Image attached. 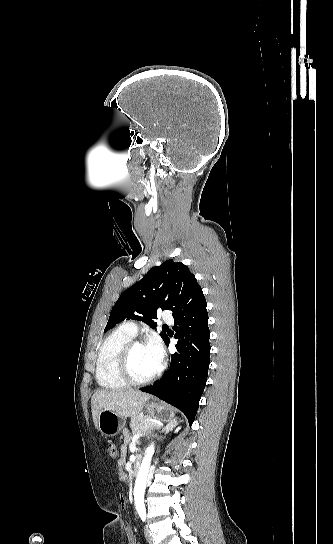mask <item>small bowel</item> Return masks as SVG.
<instances>
[{"label":"small bowel","instance_id":"1","mask_svg":"<svg viewBox=\"0 0 333 544\" xmlns=\"http://www.w3.org/2000/svg\"><path fill=\"white\" fill-rule=\"evenodd\" d=\"M124 451V448L122 449ZM125 463V459L124 457H122L119 461H118V478L121 482L123 483H127L128 482V479H127V475L125 474V472L122 470V467ZM120 503H121V507L124 509L126 508L127 506V500L124 496H121L120 497ZM126 535H127V541H128V544H136V537L132 531L131 528H127L126 529Z\"/></svg>","mask_w":333,"mask_h":544}]
</instances>
